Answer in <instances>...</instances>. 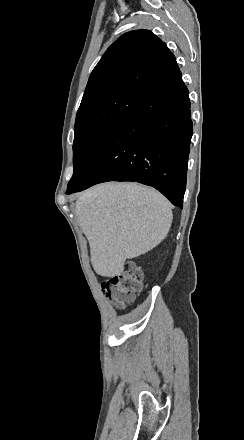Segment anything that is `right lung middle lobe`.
Wrapping results in <instances>:
<instances>
[{"label": "right lung middle lobe", "mask_w": 244, "mask_h": 440, "mask_svg": "<svg viewBox=\"0 0 244 440\" xmlns=\"http://www.w3.org/2000/svg\"><path fill=\"white\" fill-rule=\"evenodd\" d=\"M139 100L140 97L119 94L108 100L80 105L74 127V173L68 186L80 178L109 134Z\"/></svg>", "instance_id": "1"}]
</instances>
